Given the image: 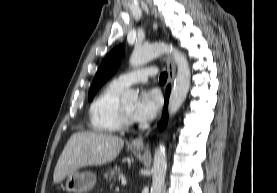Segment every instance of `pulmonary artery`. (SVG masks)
Wrapping results in <instances>:
<instances>
[{"label": "pulmonary artery", "instance_id": "pulmonary-artery-1", "mask_svg": "<svg viewBox=\"0 0 277 193\" xmlns=\"http://www.w3.org/2000/svg\"><path fill=\"white\" fill-rule=\"evenodd\" d=\"M155 74L156 69L154 67L142 68L121 74L112 82L124 89L136 83L146 82L149 77H153Z\"/></svg>", "mask_w": 277, "mask_h": 193}]
</instances>
